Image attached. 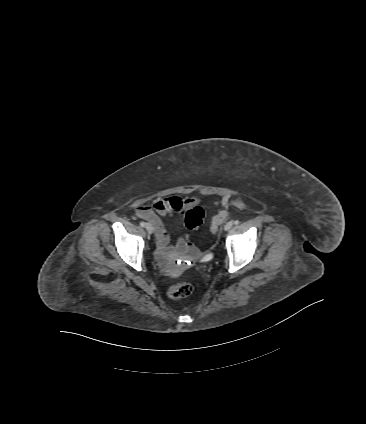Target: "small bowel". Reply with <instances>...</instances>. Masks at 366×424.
<instances>
[{"label": "small bowel", "instance_id": "1", "mask_svg": "<svg viewBox=\"0 0 366 424\" xmlns=\"http://www.w3.org/2000/svg\"><path fill=\"white\" fill-rule=\"evenodd\" d=\"M197 203L198 199L195 197H158L153 201L152 206L141 205L136 210V216L138 218L146 220L154 226L160 258L170 254L174 249L170 245V236L162 222V218L170 216L175 212H183ZM187 243L186 238H180L176 242L175 248L182 250L186 247Z\"/></svg>", "mask_w": 366, "mask_h": 424}]
</instances>
